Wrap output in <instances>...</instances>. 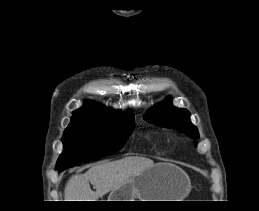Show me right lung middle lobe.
I'll list each match as a JSON object with an SVG mask.
<instances>
[{
  "label": "right lung middle lobe",
  "instance_id": "obj_1",
  "mask_svg": "<svg viewBox=\"0 0 259 211\" xmlns=\"http://www.w3.org/2000/svg\"><path fill=\"white\" fill-rule=\"evenodd\" d=\"M134 115L72 116L64 131V151L56 169L62 171L119 151L134 128Z\"/></svg>",
  "mask_w": 259,
  "mask_h": 211
}]
</instances>
